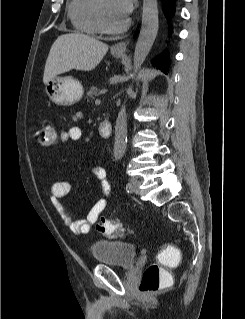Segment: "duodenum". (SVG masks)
Here are the masks:
<instances>
[{"instance_id": "obj_1", "label": "duodenum", "mask_w": 245, "mask_h": 319, "mask_svg": "<svg viewBox=\"0 0 245 319\" xmlns=\"http://www.w3.org/2000/svg\"><path fill=\"white\" fill-rule=\"evenodd\" d=\"M99 133L103 138H109L112 135V125L109 121L103 120L99 124Z\"/></svg>"}]
</instances>
